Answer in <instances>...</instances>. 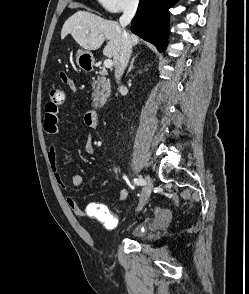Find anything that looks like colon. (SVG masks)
Returning <instances> with one entry per match:
<instances>
[{"mask_svg": "<svg viewBox=\"0 0 249 294\" xmlns=\"http://www.w3.org/2000/svg\"><path fill=\"white\" fill-rule=\"evenodd\" d=\"M64 100H65V94L61 88L55 87L50 90L48 104L57 106L62 104Z\"/></svg>", "mask_w": 249, "mask_h": 294, "instance_id": "5ec220e1", "label": "colon"}]
</instances>
